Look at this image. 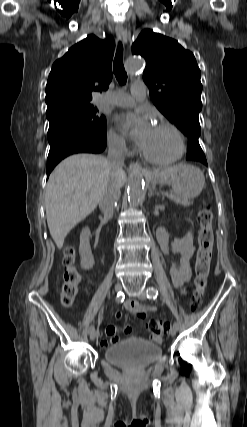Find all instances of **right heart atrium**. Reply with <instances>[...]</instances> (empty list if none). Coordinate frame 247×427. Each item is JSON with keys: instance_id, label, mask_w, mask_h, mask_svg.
Instances as JSON below:
<instances>
[{"instance_id": "d8ad5b80", "label": "right heart atrium", "mask_w": 247, "mask_h": 427, "mask_svg": "<svg viewBox=\"0 0 247 427\" xmlns=\"http://www.w3.org/2000/svg\"><path fill=\"white\" fill-rule=\"evenodd\" d=\"M108 147L118 153H127L128 146L126 140L114 129H109L106 137Z\"/></svg>"}]
</instances>
